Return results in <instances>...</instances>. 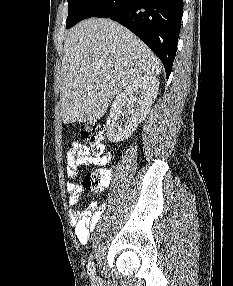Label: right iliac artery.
<instances>
[{"mask_svg":"<svg viewBox=\"0 0 233 286\" xmlns=\"http://www.w3.org/2000/svg\"><path fill=\"white\" fill-rule=\"evenodd\" d=\"M88 272H89L91 281L94 282L95 281V269H94V263L92 261V255L90 256L89 261H88Z\"/></svg>","mask_w":233,"mask_h":286,"instance_id":"right-iliac-artery-1","label":"right iliac artery"}]
</instances>
